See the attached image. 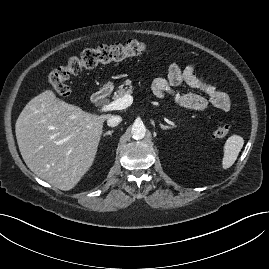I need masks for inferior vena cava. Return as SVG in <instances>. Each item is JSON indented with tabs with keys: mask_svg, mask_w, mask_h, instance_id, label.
<instances>
[{
	"mask_svg": "<svg viewBox=\"0 0 269 269\" xmlns=\"http://www.w3.org/2000/svg\"><path fill=\"white\" fill-rule=\"evenodd\" d=\"M122 121V118L118 115H110L107 119V125L109 127H115L119 125Z\"/></svg>",
	"mask_w": 269,
	"mask_h": 269,
	"instance_id": "obj_1",
	"label": "inferior vena cava"
}]
</instances>
